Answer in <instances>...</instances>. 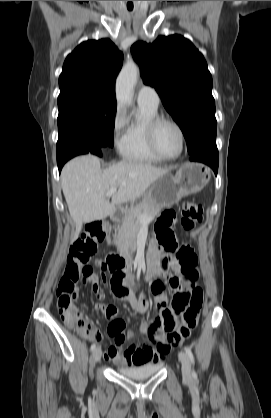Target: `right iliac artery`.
<instances>
[{"label": "right iliac artery", "instance_id": "82829eb1", "mask_svg": "<svg viewBox=\"0 0 271 418\" xmlns=\"http://www.w3.org/2000/svg\"><path fill=\"white\" fill-rule=\"evenodd\" d=\"M95 348H96V344L94 343V344H92V345H91L90 350H91V351H94V350H95Z\"/></svg>", "mask_w": 271, "mask_h": 418}]
</instances>
